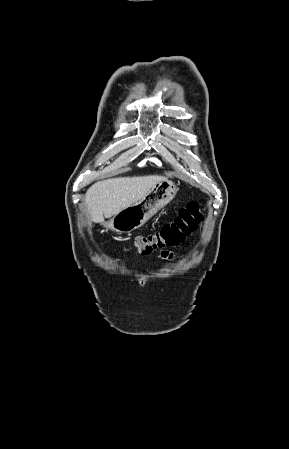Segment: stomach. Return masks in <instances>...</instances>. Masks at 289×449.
<instances>
[{
  "label": "stomach",
  "instance_id": "obj_1",
  "mask_svg": "<svg viewBox=\"0 0 289 449\" xmlns=\"http://www.w3.org/2000/svg\"><path fill=\"white\" fill-rule=\"evenodd\" d=\"M177 192L175 183L165 179L152 187L142 199L114 215L105 227L119 233L136 230L173 200Z\"/></svg>",
  "mask_w": 289,
  "mask_h": 449
}]
</instances>
